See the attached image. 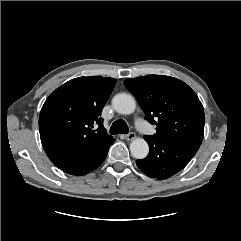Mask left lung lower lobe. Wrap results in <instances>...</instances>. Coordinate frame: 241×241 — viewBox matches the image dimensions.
Instances as JSON below:
<instances>
[{
    "instance_id": "0a47b994",
    "label": "left lung lower lobe",
    "mask_w": 241,
    "mask_h": 241,
    "mask_svg": "<svg viewBox=\"0 0 241 241\" xmlns=\"http://www.w3.org/2000/svg\"><path fill=\"white\" fill-rule=\"evenodd\" d=\"M149 144V154L137 160L139 169L146 175L159 180L167 179L181 171L193 158L200 144L179 142L156 136H144Z\"/></svg>"
}]
</instances>
